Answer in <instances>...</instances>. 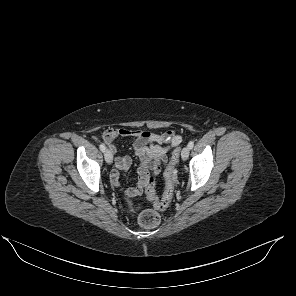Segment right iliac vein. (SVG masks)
<instances>
[{
  "label": "right iliac vein",
  "mask_w": 296,
  "mask_h": 296,
  "mask_svg": "<svg viewBox=\"0 0 296 296\" xmlns=\"http://www.w3.org/2000/svg\"><path fill=\"white\" fill-rule=\"evenodd\" d=\"M104 158L108 164H111L113 162V155L111 154V152L109 150H106L104 152Z\"/></svg>",
  "instance_id": "1"
}]
</instances>
